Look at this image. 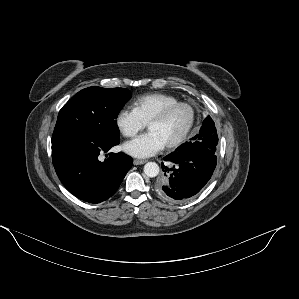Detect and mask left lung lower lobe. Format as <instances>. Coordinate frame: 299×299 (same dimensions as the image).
I'll list each match as a JSON object with an SVG mask.
<instances>
[{
  "label": "left lung lower lobe",
  "instance_id": "1",
  "mask_svg": "<svg viewBox=\"0 0 299 299\" xmlns=\"http://www.w3.org/2000/svg\"><path fill=\"white\" fill-rule=\"evenodd\" d=\"M171 162L162 163L164 178L156 185L157 194L165 200L181 201L197 194L209 181L216 167V154L212 143L205 136L181 145L164 158Z\"/></svg>",
  "mask_w": 299,
  "mask_h": 299
}]
</instances>
